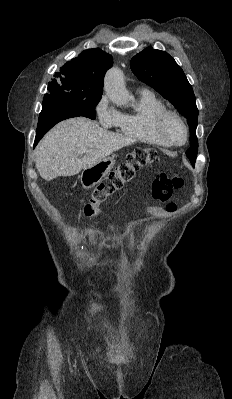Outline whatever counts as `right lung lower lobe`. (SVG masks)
<instances>
[{"mask_svg":"<svg viewBox=\"0 0 232 399\" xmlns=\"http://www.w3.org/2000/svg\"><path fill=\"white\" fill-rule=\"evenodd\" d=\"M78 116H83V117H88V115L76 111L74 109H70L68 107H65L61 104H44L43 103V108L42 111L39 115V121L37 125V130H36V138H35V143L34 147L36 144L39 142V140L58 122L72 118V117H78ZM92 119V118H90ZM95 119V118H93Z\"/></svg>","mask_w":232,"mask_h":399,"instance_id":"obj_1","label":"right lung lower lobe"}]
</instances>
